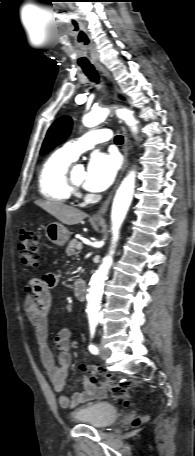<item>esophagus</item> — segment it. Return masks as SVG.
<instances>
[{
  "mask_svg": "<svg viewBox=\"0 0 195 456\" xmlns=\"http://www.w3.org/2000/svg\"><path fill=\"white\" fill-rule=\"evenodd\" d=\"M98 68L102 72V74L109 81H112L110 74L107 72V70L104 67L98 66ZM115 91H117L116 87H115ZM121 131H122L123 136H124V143H123V147H122V152H123V156H124L123 167H122L121 173L119 175V178H118V180L116 182V185L114 186V189L109 194L107 199L103 202L102 206L92 215V219H94V220H103L104 215H105L106 211L108 210V207H109V204L111 202L112 196H113V194H114V192H115V190H116V188H117V186H118V184L120 182V179H121L123 173L125 172V170H126V168L128 166L129 135H128L127 129L124 126H121Z\"/></svg>",
  "mask_w": 195,
  "mask_h": 456,
  "instance_id": "34e87169",
  "label": "esophagus"
}]
</instances>
